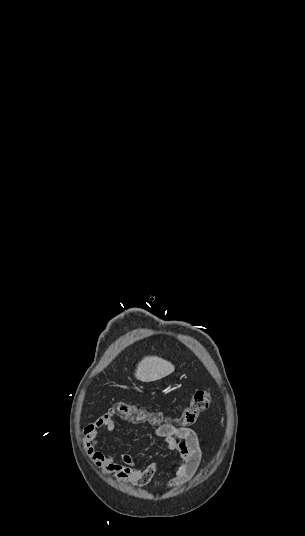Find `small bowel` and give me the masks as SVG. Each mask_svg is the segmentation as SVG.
Wrapping results in <instances>:
<instances>
[{"instance_id": "1", "label": "small bowel", "mask_w": 305, "mask_h": 536, "mask_svg": "<svg viewBox=\"0 0 305 536\" xmlns=\"http://www.w3.org/2000/svg\"><path fill=\"white\" fill-rule=\"evenodd\" d=\"M114 413L104 411L102 419H96L94 425L87 423L78 437L82 440L86 454L93 464L112 474L117 481L130 482L136 486L148 484L160 467L159 462H152L141 467L139 461L128 454L118 456L99 450L98 445L103 434L100 428L114 427ZM156 437L162 439L166 449L177 452L180 462L174 467V476L168 482L169 488L178 487L190 480L198 471L203 459L202 441L197 433L189 427L175 426L157 427Z\"/></svg>"}]
</instances>
